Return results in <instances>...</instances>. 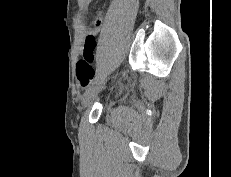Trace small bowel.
Here are the masks:
<instances>
[{
  "label": "small bowel",
  "mask_w": 231,
  "mask_h": 177,
  "mask_svg": "<svg viewBox=\"0 0 231 177\" xmlns=\"http://www.w3.org/2000/svg\"><path fill=\"white\" fill-rule=\"evenodd\" d=\"M86 1H87V4H89L91 0H86ZM102 23H103V18H102V16L99 15L94 20V28L93 29L88 30L85 26H83L82 31L86 35V38L89 35L94 36L98 32V30H99L100 26L102 25ZM83 51H84V49H83Z\"/></svg>",
  "instance_id": "obj_1"
}]
</instances>
